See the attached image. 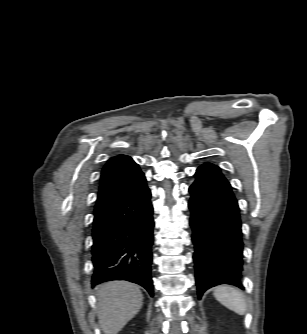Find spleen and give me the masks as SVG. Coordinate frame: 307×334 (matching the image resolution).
Returning <instances> with one entry per match:
<instances>
[{
    "instance_id": "3e777b00",
    "label": "spleen",
    "mask_w": 307,
    "mask_h": 334,
    "mask_svg": "<svg viewBox=\"0 0 307 334\" xmlns=\"http://www.w3.org/2000/svg\"><path fill=\"white\" fill-rule=\"evenodd\" d=\"M213 295L217 301L235 313L244 315L246 312L245 297L239 289L223 285L216 287Z\"/></svg>"
}]
</instances>
